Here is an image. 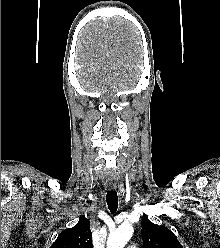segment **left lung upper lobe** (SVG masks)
<instances>
[{
  "label": "left lung upper lobe",
  "mask_w": 220,
  "mask_h": 248,
  "mask_svg": "<svg viewBox=\"0 0 220 248\" xmlns=\"http://www.w3.org/2000/svg\"><path fill=\"white\" fill-rule=\"evenodd\" d=\"M141 226L144 248H183L171 230L153 224L148 217H143Z\"/></svg>",
  "instance_id": "5c2ea615"
}]
</instances>
